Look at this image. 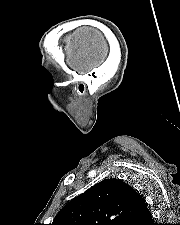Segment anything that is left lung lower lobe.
<instances>
[{
    "label": "left lung lower lobe",
    "instance_id": "0a47b994",
    "mask_svg": "<svg viewBox=\"0 0 180 225\" xmlns=\"http://www.w3.org/2000/svg\"><path fill=\"white\" fill-rule=\"evenodd\" d=\"M126 225H155L150 211L146 207L141 213L133 217Z\"/></svg>",
    "mask_w": 180,
    "mask_h": 225
}]
</instances>
